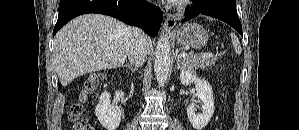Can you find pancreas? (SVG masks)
Instances as JSON below:
<instances>
[{
  "label": "pancreas",
  "instance_id": "1",
  "mask_svg": "<svg viewBox=\"0 0 299 130\" xmlns=\"http://www.w3.org/2000/svg\"><path fill=\"white\" fill-rule=\"evenodd\" d=\"M216 60V57L213 55L211 57H206L203 55H194L193 53H187V56L183 57L182 66L189 70H196L198 68L204 70L215 65Z\"/></svg>",
  "mask_w": 299,
  "mask_h": 130
}]
</instances>
